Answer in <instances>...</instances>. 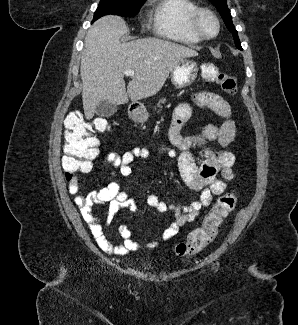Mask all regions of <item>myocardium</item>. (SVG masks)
Returning <instances> with one entry per match:
<instances>
[{"label": "myocardium", "instance_id": "f54148a6", "mask_svg": "<svg viewBox=\"0 0 298 325\" xmlns=\"http://www.w3.org/2000/svg\"><path fill=\"white\" fill-rule=\"evenodd\" d=\"M203 17L209 18L213 23L214 33L211 36H206L200 27V21ZM189 28L197 37L201 39V41H210L214 39L219 32V26L214 15L209 10L204 8H198L190 17Z\"/></svg>", "mask_w": 298, "mask_h": 325}]
</instances>
